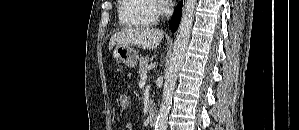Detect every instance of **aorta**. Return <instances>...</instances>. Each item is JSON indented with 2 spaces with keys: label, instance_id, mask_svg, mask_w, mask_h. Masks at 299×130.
I'll list each match as a JSON object with an SVG mask.
<instances>
[{
  "label": "aorta",
  "instance_id": "762f6f07",
  "mask_svg": "<svg viewBox=\"0 0 299 130\" xmlns=\"http://www.w3.org/2000/svg\"><path fill=\"white\" fill-rule=\"evenodd\" d=\"M196 3L197 0H186L183 6L182 18L174 42L173 52L165 70L162 103L155 124V130H166L167 127L168 113L172 104V95L178 78V73L184 63L193 25Z\"/></svg>",
  "mask_w": 299,
  "mask_h": 130
}]
</instances>
